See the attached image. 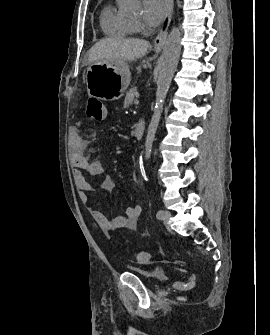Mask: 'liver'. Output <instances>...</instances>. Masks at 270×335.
<instances>
[{"mask_svg": "<svg viewBox=\"0 0 270 335\" xmlns=\"http://www.w3.org/2000/svg\"><path fill=\"white\" fill-rule=\"evenodd\" d=\"M150 44L146 40H121V38H103L96 42L89 50L88 64L90 62H107L113 60H137L145 56Z\"/></svg>", "mask_w": 270, "mask_h": 335, "instance_id": "6515ba94", "label": "liver"}]
</instances>
